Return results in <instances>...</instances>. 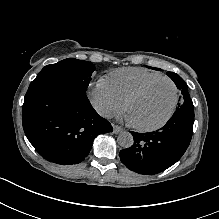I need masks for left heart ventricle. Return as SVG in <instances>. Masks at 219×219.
Wrapping results in <instances>:
<instances>
[{"label":"left heart ventricle","mask_w":219,"mask_h":219,"mask_svg":"<svg viewBox=\"0 0 219 219\" xmlns=\"http://www.w3.org/2000/svg\"><path fill=\"white\" fill-rule=\"evenodd\" d=\"M174 90L168 81H160L133 101L128 108L131 121L139 125H152L162 120L172 100Z\"/></svg>","instance_id":"left-heart-ventricle-1"}]
</instances>
